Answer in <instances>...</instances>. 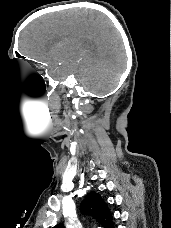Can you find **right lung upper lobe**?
I'll list each match as a JSON object with an SVG mask.
<instances>
[{"instance_id":"cb5924a9","label":"right lung upper lobe","mask_w":171,"mask_h":228,"mask_svg":"<svg viewBox=\"0 0 171 228\" xmlns=\"http://www.w3.org/2000/svg\"><path fill=\"white\" fill-rule=\"evenodd\" d=\"M81 211L94 217L104 228H113L112 215L100 195L94 191L90 192L81 204ZM53 228H64L58 224Z\"/></svg>"}]
</instances>
